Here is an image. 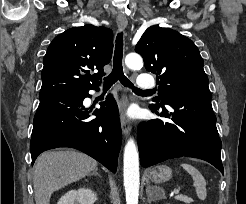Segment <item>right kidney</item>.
Wrapping results in <instances>:
<instances>
[{
    "label": "right kidney",
    "instance_id": "right-kidney-1",
    "mask_svg": "<svg viewBox=\"0 0 246 204\" xmlns=\"http://www.w3.org/2000/svg\"><path fill=\"white\" fill-rule=\"evenodd\" d=\"M97 199L96 193L91 189L80 188L64 194L57 204H94Z\"/></svg>",
    "mask_w": 246,
    "mask_h": 204
}]
</instances>
